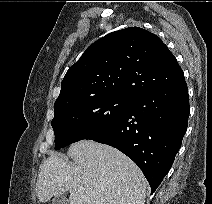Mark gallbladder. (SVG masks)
Returning <instances> with one entry per match:
<instances>
[{"label":"gallbladder","instance_id":"obj_1","mask_svg":"<svg viewBox=\"0 0 212 204\" xmlns=\"http://www.w3.org/2000/svg\"><path fill=\"white\" fill-rule=\"evenodd\" d=\"M52 204H68V200L65 196H55L52 200Z\"/></svg>","mask_w":212,"mask_h":204}]
</instances>
